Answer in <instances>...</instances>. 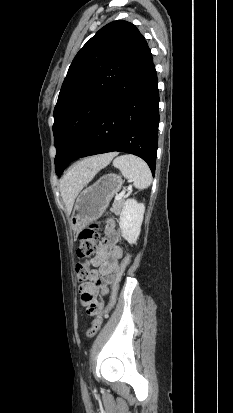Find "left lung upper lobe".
Returning a JSON list of instances; mask_svg holds the SVG:
<instances>
[{
    "label": "left lung upper lobe",
    "mask_w": 233,
    "mask_h": 413,
    "mask_svg": "<svg viewBox=\"0 0 233 413\" xmlns=\"http://www.w3.org/2000/svg\"><path fill=\"white\" fill-rule=\"evenodd\" d=\"M144 40L135 25L117 20L101 28L73 59L54 109L58 176L80 149Z\"/></svg>",
    "instance_id": "obj_1"
}]
</instances>
